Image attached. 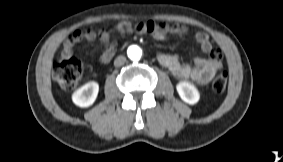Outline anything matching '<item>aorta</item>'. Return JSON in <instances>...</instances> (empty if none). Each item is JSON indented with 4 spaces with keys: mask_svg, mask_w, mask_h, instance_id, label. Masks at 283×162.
Wrapping results in <instances>:
<instances>
[{
    "mask_svg": "<svg viewBox=\"0 0 283 162\" xmlns=\"http://www.w3.org/2000/svg\"><path fill=\"white\" fill-rule=\"evenodd\" d=\"M127 54L131 60L136 61L141 58L142 51L138 46L133 45L128 48Z\"/></svg>",
    "mask_w": 283,
    "mask_h": 162,
    "instance_id": "1",
    "label": "aorta"
}]
</instances>
